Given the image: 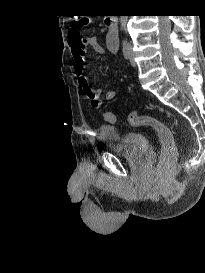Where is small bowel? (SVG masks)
I'll return each mask as SVG.
<instances>
[{
	"label": "small bowel",
	"mask_w": 205,
	"mask_h": 273,
	"mask_svg": "<svg viewBox=\"0 0 205 273\" xmlns=\"http://www.w3.org/2000/svg\"><path fill=\"white\" fill-rule=\"evenodd\" d=\"M106 44L110 52L114 53L117 51V38L116 34L109 30L106 35ZM86 47V48H85ZM87 49L92 50L96 54H101L103 52V47L98 42L95 37L85 38V45L81 46L77 43L71 41V50L73 55V67L74 73L78 81V85L86 98L90 101V104L93 108H101L103 105V100L101 98V89L93 88L90 85V79L87 73L85 72V62H86V52ZM116 96L115 90H108L106 92V99L112 100ZM105 112L103 114L105 118ZM106 120V119H105Z\"/></svg>",
	"instance_id": "small-bowel-1"
}]
</instances>
